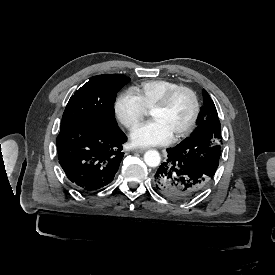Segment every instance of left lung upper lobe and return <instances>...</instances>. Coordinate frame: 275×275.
I'll return each instance as SVG.
<instances>
[{
  "instance_id": "obj_1",
  "label": "left lung upper lobe",
  "mask_w": 275,
  "mask_h": 275,
  "mask_svg": "<svg viewBox=\"0 0 275 275\" xmlns=\"http://www.w3.org/2000/svg\"><path fill=\"white\" fill-rule=\"evenodd\" d=\"M202 93L204 107L200 109L196 130L167 152L201 172L214 176L221 154V125L212 99L206 90L203 89Z\"/></svg>"
}]
</instances>
